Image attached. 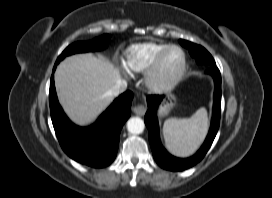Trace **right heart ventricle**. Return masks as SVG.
Wrapping results in <instances>:
<instances>
[{"instance_id":"obj_1","label":"right heart ventricle","mask_w":272,"mask_h":198,"mask_svg":"<svg viewBox=\"0 0 272 198\" xmlns=\"http://www.w3.org/2000/svg\"><path fill=\"white\" fill-rule=\"evenodd\" d=\"M168 46L170 45L157 41H149L132 45L124 54L122 60L123 67L130 73L146 72L151 67L157 56Z\"/></svg>"}]
</instances>
